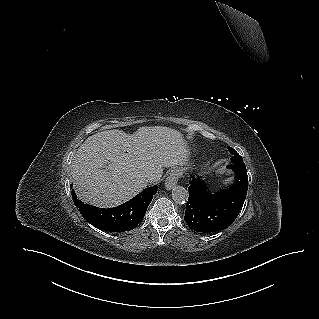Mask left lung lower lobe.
<instances>
[{
    "instance_id": "0a47b994",
    "label": "left lung lower lobe",
    "mask_w": 319,
    "mask_h": 319,
    "mask_svg": "<svg viewBox=\"0 0 319 319\" xmlns=\"http://www.w3.org/2000/svg\"><path fill=\"white\" fill-rule=\"evenodd\" d=\"M235 172V183L220 192L211 193L201 177L190 181L189 199L184 219L197 232H216L229 227L239 215L248 190L245 165H228Z\"/></svg>"
}]
</instances>
